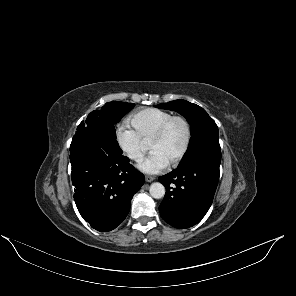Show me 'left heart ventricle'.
Instances as JSON below:
<instances>
[{
  "label": "left heart ventricle",
  "mask_w": 296,
  "mask_h": 296,
  "mask_svg": "<svg viewBox=\"0 0 296 296\" xmlns=\"http://www.w3.org/2000/svg\"><path fill=\"white\" fill-rule=\"evenodd\" d=\"M186 140V128L183 122L175 121L165 138L151 145L152 152H160L170 163L177 158L182 151Z\"/></svg>",
  "instance_id": "1"
}]
</instances>
